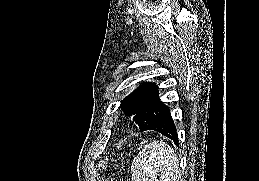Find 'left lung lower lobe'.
I'll use <instances>...</instances> for the list:
<instances>
[{"label":"left lung lower lobe","mask_w":259,"mask_h":181,"mask_svg":"<svg viewBox=\"0 0 259 181\" xmlns=\"http://www.w3.org/2000/svg\"><path fill=\"white\" fill-rule=\"evenodd\" d=\"M154 130L172 139L178 145V135L169 108L164 105L158 116L144 130Z\"/></svg>","instance_id":"0a47b994"}]
</instances>
